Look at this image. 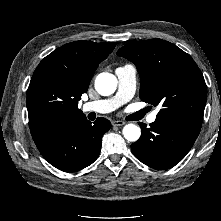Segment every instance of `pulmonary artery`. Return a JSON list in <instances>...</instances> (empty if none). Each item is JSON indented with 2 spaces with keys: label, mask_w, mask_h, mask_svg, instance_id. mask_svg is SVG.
<instances>
[{
  "label": "pulmonary artery",
  "mask_w": 221,
  "mask_h": 221,
  "mask_svg": "<svg viewBox=\"0 0 221 221\" xmlns=\"http://www.w3.org/2000/svg\"><path fill=\"white\" fill-rule=\"evenodd\" d=\"M118 78V90L115 96L83 105L84 112H95L99 114L110 113L122 104L128 102L134 95L136 89V69L132 65L119 67L115 71ZM157 111H154L147 117L148 123L156 120Z\"/></svg>",
  "instance_id": "obj_1"
}]
</instances>
